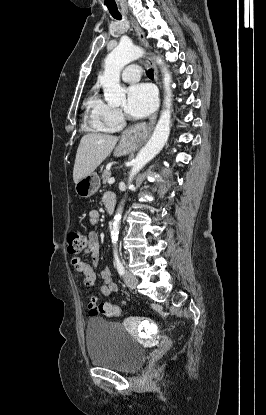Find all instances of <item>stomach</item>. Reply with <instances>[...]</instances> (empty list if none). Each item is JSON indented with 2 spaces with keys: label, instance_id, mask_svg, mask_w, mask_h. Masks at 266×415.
Returning <instances> with one entry per match:
<instances>
[{
  "label": "stomach",
  "instance_id": "obj_1",
  "mask_svg": "<svg viewBox=\"0 0 266 415\" xmlns=\"http://www.w3.org/2000/svg\"><path fill=\"white\" fill-rule=\"evenodd\" d=\"M135 144L130 140H122L114 151L115 156H123L128 154ZM100 187V178L96 173L80 179L75 185V192L81 198H89L94 195Z\"/></svg>",
  "mask_w": 266,
  "mask_h": 415
}]
</instances>
